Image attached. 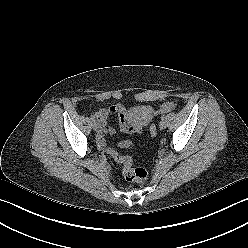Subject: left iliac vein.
I'll use <instances>...</instances> for the list:
<instances>
[{
    "instance_id": "obj_1",
    "label": "left iliac vein",
    "mask_w": 248,
    "mask_h": 248,
    "mask_svg": "<svg viewBox=\"0 0 248 248\" xmlns=\"http://www.w3.org/2000/svg\"><path fill=\"white\" fill-rule=\"evenodd\" d=\"M167 126V122L165 120H161L159 123V128L160 129H165Z\"/></svg>"
}]
</instances>
